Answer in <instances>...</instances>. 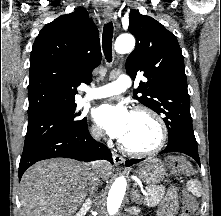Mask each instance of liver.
I'll use <instances>...</instances> for the list:
<instances>
[{
    "mask_svg": "<svg viewBox=\"0 0 221 216\" xmlns=\"http://www.w3.org/2000/svg\"><path fill=\"white\" fill-rule=\"evenodd\" d=\"M92 167L103 180L112 169L107 161ZM90 169L89 164L64 158L32 165L20 182L21 216H71L85 200Z\"/></svg>",
    "mask_w": 221,
    "mask_h": 216,
    "instance_id": "liver-1",
    "label": "liver"
}]
</instances>
